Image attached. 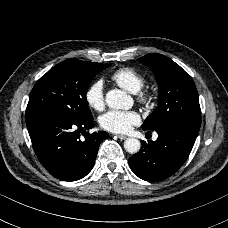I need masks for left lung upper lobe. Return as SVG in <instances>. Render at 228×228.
I'll list each match as a JSON object with an SVG mask.
<instances>
[{"instance_id":"5c2ea615","label":"left lung upper lobe","mask_w":228,"mask_h":228,"mask_svg":"<svg viewBox=\"0 0 228 228\" xmlns=\"http://www.w3.org/2000/svg\"><path fill=\"white\" fill-rule=\"evenodd\" d=\"M150 67L159 86V105L142 125L143 130H157L167 125L200 129L201 110L192 78L168 57L151 53L138 59Z\"/></svg>"}]
</instances>
